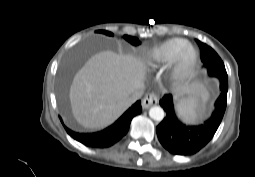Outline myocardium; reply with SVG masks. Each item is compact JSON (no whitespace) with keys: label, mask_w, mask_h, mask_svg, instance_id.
<instances>
[{"label":"myocardium","mask_w":255,"mask_h":177,"mask_svg":"<svg viewBox=\"0 0 255 177\" xmlns=\"http://www.w3.org/2000/svg\"><path fill=\"white\" fill-rule=\"evenodd\" d=\"M199 61V53L196 47L186 42L169 63V73L176 85L187 83L195 74Z\"/></svg>","instance_id":"myocardium-1"}]
</instances>
